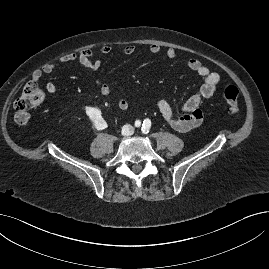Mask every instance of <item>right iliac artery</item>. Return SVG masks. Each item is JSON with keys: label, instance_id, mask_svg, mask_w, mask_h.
<instances>
[{"label": "right iliac artery", "instance_id": "1", "mask_svg": "<svg viewBox=\"0 0 269 269\" xmlns=\"http://www.w3.org/2000/svg\"><path fill=\"white\" fill-rule=\"evenodd\" d=\"M140 125H141L140 120H136V121H135V127H140Z\"/></svg>", "mask_w": 269, "mask_h": 269}]
</instances>
